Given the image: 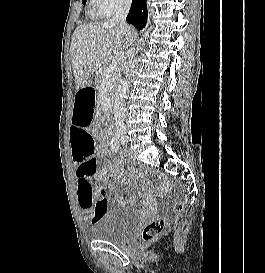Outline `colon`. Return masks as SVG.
I'll use <instances>...</instances> for the list:
<instances>
[{"label":"colon","mask_w":265,"mask_h":273,"mask_svg":"<svg viewBox=\"0 0 265 273\" xmlns=\"http://www.w3.org/2000/svg\"><path fill=\"white\" fill-rule=\"evenodd\" d=\"M87 136L91 138V135L87 133ZM99 209L102 208V205L98 206ZM184 208L183 203H178L176 206V211L178 213L182 212ZM167 227V222L163 219H158L147 224L141 234V238L143 242H151L155 240Z\"/></svg>","instance_id":"5ec220e1"}]
</instances>
